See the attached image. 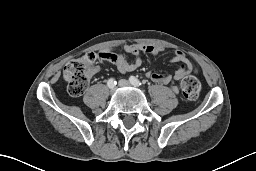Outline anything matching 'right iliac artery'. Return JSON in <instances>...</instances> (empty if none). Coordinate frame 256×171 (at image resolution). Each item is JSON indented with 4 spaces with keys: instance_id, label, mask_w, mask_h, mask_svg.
I'll return each instance as SVG.
<instances>
[{
    "instance_id": "obj_1",
    "label": "right iliac artery",
    "mask_w": 256,
    "mask_h": 171,
    "mask_svg": "<svg viewBox=\"0 0 256 171\" xmlns=\"http://www.w3.org/2000/svg\"><path fill=\"white\" fill-rule=\"evenodd\" d=\"M117 84V82L115 81L114 78H110L107 82V85L109 88H111L112 86H115Z\"/></svg>"
}]
</instances>
